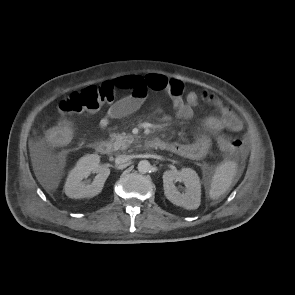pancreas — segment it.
<instances>
[{
	"label": "pancreas",
	"mask_w": 295,
	"mask_h": 295,
	"mask_svg": "<svg viewBox=\"0 0 295 295\" xmlns=\"http://www.w3.org/2000/svg\"><path fill=\"white\" fill-rule=\"evenodd\" d=\"M110 137L113 141L114 150H125L134 141V136L126 133H112Z\"/></svg>",
	"instance_id": "pancreas-1"
}]
</instances>
